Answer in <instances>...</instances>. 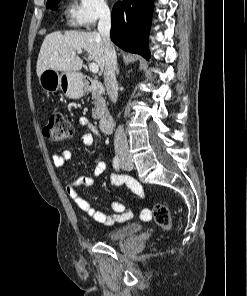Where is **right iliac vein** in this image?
<instances>
[{
    "label": "right iliac vein",
    "instance_id": "1",
    "mask_svg": "<svg viewBox=\"0 0 247 296\" xmlns=\"http://www.w3.org/2000/svg\"><path fill=\"white\" fill-rule=\"evenodd\" d=\"M129 159L128 158H123V162H128Z\"/></svg>",
    "mask_w": 247,
    "mask_h": 296
}]
</instances>
